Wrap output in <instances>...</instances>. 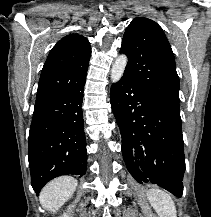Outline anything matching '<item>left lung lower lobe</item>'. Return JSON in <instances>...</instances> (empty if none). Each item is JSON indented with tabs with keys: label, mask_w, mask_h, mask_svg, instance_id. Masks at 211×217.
I'll list each match as a JSON object with an SVG mask.
<instances>
[{
	"label": "left lung lower lobe",
	"mask_w": 211,
	"mask_h": 217,
	"mask_svg": "<svg viewBox=\"0 0 211 217\" xmlns=\"http://www.w3.org/2000/svg\"><path fill=\"white\" fill-rule=\"evenodd\" d=\"M110 100L130 174L139 183L156 184L181 197L185 157L180 115L125 76L112 85Z\"/></svg>",
	"instance_id": "obj_1"
}]
</instances>
